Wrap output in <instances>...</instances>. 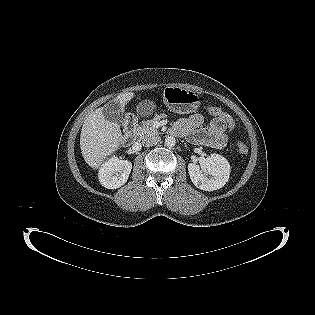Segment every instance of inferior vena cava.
<instances>
[{
    "label": "inferior vena cava",
    "instance_id": "inferior-vena-cava-1",
    "mask_svg": "<svg viewBox=\"0 0 315 315\" xmlns=\"http://www.w3.org/2000/svg\"><path fill=\"white\" fill-rule=\"evenodd\" d=\"M160 141H161V138L160 136H158V134H150L146 136L145 138H143L142 143L146 147H149V146L156 145Z\"/></svg>",
    "mask_w": 315,
    "mask_h": 315
}]
</instances>
